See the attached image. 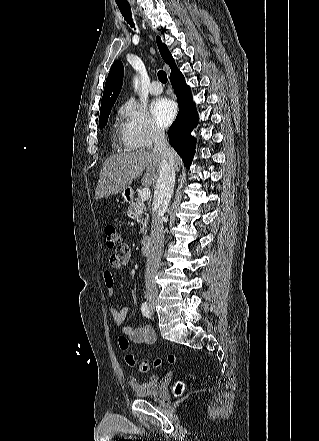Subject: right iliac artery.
<instances>
[{
  "label": "right iliac artery",
  "mask_w": 319,
  "mask_h": 441,
  "mask_svg": "<svg viewBox=\"0 0 319 441\" xmlns=\"http://www.w3.org/2000/svg\"><path fill=\"white\" fill-rule=\"evenodd\" d=\"M141 312L144 317H149V307L146 302H144L141 306Z\"/></svg>",
  "instance_id": "82829eb1"
}]
</instances>
